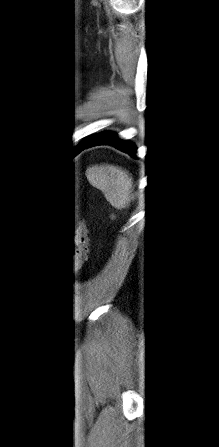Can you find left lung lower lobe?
Returning <instances> with one entry per match:
<instances>
[{
	"mask_svg": "<svg viewBox=\"0 0 219 447\" xmlns=\"http://www.w3.org/2000/svg\"><path fill=\"white\" fill-rule=\"evenodd\" d=\"M101 144H109L112 145L124 152H127L131 156H136V148L135 146L127 140H121L116 137L115 134L111 132L101 133L97 136H93L82 142L79 147L76 149L75 154L84 150L85 148L101 145Z\"/></svg>",
	"mask_w": 219,
	"mask_h": 447,
	"instance_id": "left-lung-lower-lobe-1",
	"label": "left lung lower lobe"
}]
</instances>
